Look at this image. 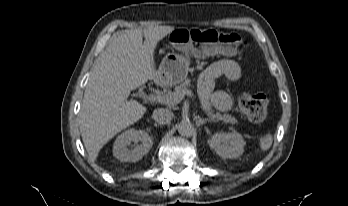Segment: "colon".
<instances>
[{
  "mask_svg": "<svg viewBox=\"0 0 348 206\" xmlns=\"http://www.w3.org/2000/svg\"><path fill=\"white\" fill-rule=\"evenodd\" d=\"M205 42L220 54L233 55L241 53L248 42L235 32H222L203 29H182L171 36L173 45H188ZM269 99L262 93H244L239 98L242 113L253 122H261L266 118Z\"/></svg>",
  "mask_w": 348,
  "mask_h": 206,
  "instance_id": "1",
  "label": "colon"
}]
</instances>
